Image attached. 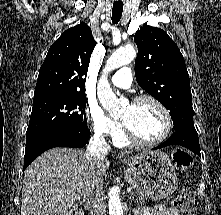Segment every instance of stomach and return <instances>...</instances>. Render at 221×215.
<instances>
[{
	"label": "stomach",
	"instance_id": "0dacf381",
	"mask_svg": "<svg viewBox=\"0 0 221 215\" xmlns=\"http://www.w3.org/2000/svg\"><path fill=\"white\" fill-rule=\"evenodd\" d=\"M124 162L126 181L146 198L164 199L178 186L172 159L162 151H145Z\"/></svg>",
	"mask_w": 221,
	"mask_h": 215
}]
</instances>
